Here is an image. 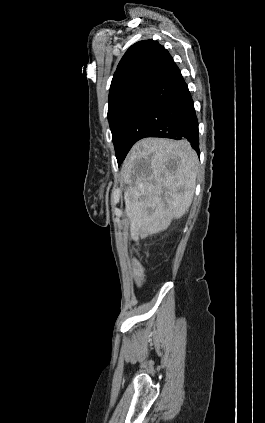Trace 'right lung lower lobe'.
<instances>
[{
    "label": "right lung lower lobe",
    "mask_w": 265,
    "mask_h": 423,
    "mask_svg": "<svg viewBox=\"0 0 265 423\" xmlns=\"http://www.w3.org/2000/svg\"><path fill=\"white\" fill-rule=\"evenodd\" d=\"M146 137L187 140L200 154L198 120L193 100L175 63L148 92L131 117L123 130L120 145L127 154L138 140Z\"/></svg>",
    "instance_id": "1"
}]
</instances>
